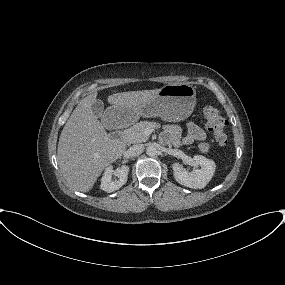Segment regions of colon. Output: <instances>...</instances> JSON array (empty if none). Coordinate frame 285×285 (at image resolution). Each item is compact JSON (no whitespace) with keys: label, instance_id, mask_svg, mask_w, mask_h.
Here are the masks:
<instances>
[{"label":"colon","instance_id":"colon-1","mask_svg":"<svg viewBox=\"0 0 285 285\" xmlns=\"http://www.w3.org/2000/svg\"><path fill=\"white\" fill-rule=\"evenodd\" d=\"M203 117L215 142L219 146H225L227 144V135L225 133L227 122L221 112L212 105H205ZM199 149L201 152L206 153L210 150V145L207 142H202L199 144Z\"/></svg>","mask_w":285,"mask_h":285}]
</instances>
